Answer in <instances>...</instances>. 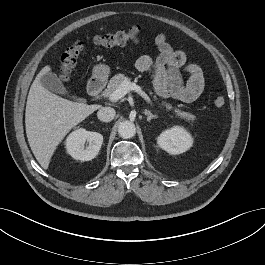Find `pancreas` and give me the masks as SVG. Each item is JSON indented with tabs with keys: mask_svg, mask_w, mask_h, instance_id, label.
Here are the masks:
<instances>
[{
	"mask_svg": "<svg viewBox=\"0 0 265 265\" xmlns=\"http://www.w3.org/2000/svg\"><path fill=\"white\" fill-rule=\"evenodd\" d=\"M124 80H129V78L126 77L124 74L120 73V74L113 76L110 79L107 88L102 92V95L104 97H109L122 84V82ZM154 99L156 100L157 97L154 96ZM162 105H164L166 107V109H168V110L172 109V105L165 102V101L162 102ZM174 111H175L177 117L184 119L187 122L193 123L194 120L196 119V117L189 112H183L179 109H175Z\"/></svg>",
	"mask_w": 265,
	"mask_h": 265,
	"instance_id": "obj_1",
	"label": "pancreas"
}]
</instances>
